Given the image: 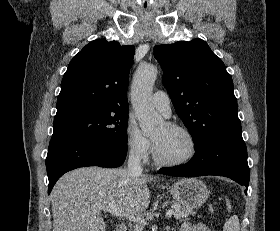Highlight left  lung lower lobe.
Instances as JSON below:
<instances>
[{"label":"left lung lower lobe","instance_id":"0a47b994","mask_svg":"<svg viewBox=\"0 0 280 231\" xmlns=\"http://www.w3.org/2000/svg\"><path fill=\"white\" fill-rule=\"evenodd\" d=\"M196 154L186 164L161 168L164 175L197 177L218 175L228 177L242 186L249 185L247 149L241 132L217 135L194 145Z\"/></svg>","mask_w":280,"mask_h":231}]
</instances>
